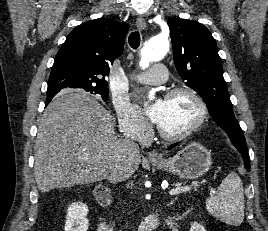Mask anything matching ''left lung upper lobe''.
Wrapping results in <instances>:
<instances>
[{
	"label": "left lung upper lobe",
	"mask_w": 268,
	"mask_h": 231,
	"mask_svg": "<svg viewBox=\"0 0 268 231\" xmlns=\"http://www.w3.org/2000/svg\"><path fill=\"white\" fill-rule=\"evenodd\" d=\"M168 26L180 77L202 97L213 120L227 133L237 150H247L244 134L233 114L212 34L195 20L174 18L168 20Z\"/></svg>",
	"instance_id": "5c2ea615"
}]
</instances>
